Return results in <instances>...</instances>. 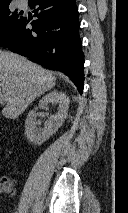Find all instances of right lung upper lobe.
Returning a JSON list of instances; mask_svg holds the SVG:
<instances>
[{
	"label": "right lung upper lobe",
	"instance_id": "1",
	"mask_svg": "<svg viewBox=\"0 0 128 213\" xmlns=\"http://www.w3.org/2000/svg\"><path fill=\"white\" fill-rule=\"evenodd\" d=\"M31 0H28L30 2ZM11 2V0H0V6L7 5Z\"/></svg>",
	"mask_w": 128,
	"mask_h": 213
}]
</instances>
